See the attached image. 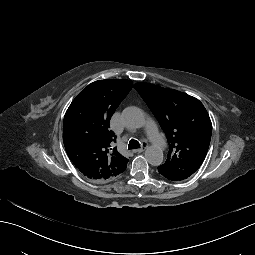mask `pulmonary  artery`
Here are the masks:
<instances>
[{"mask_svg": "<svg viewBox=\"0 0 255 255\" xmlns=\"http://www.w3.org/2000/svg\"><path fill=\"white\" fill-rule=\"evenodd\" d=\"M147 134L151 136V140L156 145L158 150L166 149L168 147V144L161 138L159 130L156 128V121L154 119H149L147 121Z\"/></svg>", "mask_w": 255, "mask_h": 255, "instance_id": "obj_1", "label": "pulmonary artery"}]
</instances>
